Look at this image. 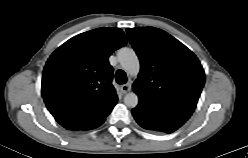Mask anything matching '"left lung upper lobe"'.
<instances>
[{
  "label": "left lung upper lobe",
  "instance_id": "obj_1",
  "mask_svg": "<svg viewBox=\"0 0 248 158\" xmlns=\"http://www.w3.org/2000/svg\"><path fill=\"white\" fill-rule=\"evenodd\" d=\"M141 64L133 84L139 97L136 111L166 133L181 127L196 108L205 83L198 58L185 45L154 27L127 29Z\"/></svg>",
  "mask_w": 248,
  "mask_h": 158
}]
</instances>
